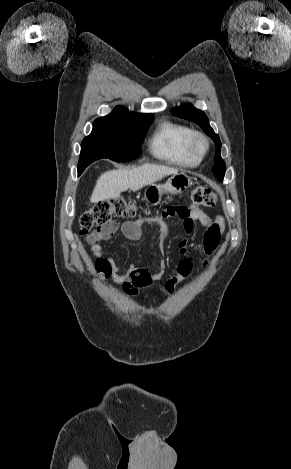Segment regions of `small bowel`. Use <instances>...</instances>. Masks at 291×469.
<instances>
[{"label": "small bowel", "instance_id": "c3829d8e", "mask_svg": "<svg viewBox=\"0 0 291 469\" xmlns=\"http://www.w3.org/2000/svg\"><path fill=\"white\" fill-rule=\"evenodd\" d=\"M167 216L169 215L164 212L161 216L138 219L136 221L125 222L122 224L118 221H114L111 223L110 230L106 235L98 239L88 237L87 239L91 245L93 255L96 257V261H102L106 265L105 268L97 269L100 274L103 277L110 278L113 282L121 285L123 291L128 295H134L141 288L149 286L152 281L158 280L166 267V262L164 260L159 262L158 270L153 273H149L147 270L140 269L135 266H130L125 273L121 274L120 269L113 258L105 254L101 241L108 240L119 228L122 229V232L127 239L134 242L142 239L144 234L143 228L145 226H157L164 232L167 228L164 218ZM178 216L183 221V229L186 233L192 232L194 221H198L205 229L202 247L206 254V258L203 261V267L207 268L212 255L217 250L220 237L225 230L224 219L221 216L212 217L210 214L196 206L185 208V212ZM178 250L180 252V261L176 266L175 274L165 281V288L167 291H172L175 286L186 280H192L191 273L193 269V257L187 239H182L178 242Z\"/></svg>", "mask_w": 291, "mask_h": 469}]
</instances>
